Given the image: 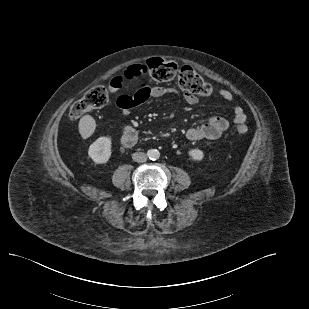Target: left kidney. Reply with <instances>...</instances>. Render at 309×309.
<instances>
[{"instance_id": "left-kidney-1", "label": "left kidney", "mask_w": 309, "mask_h": 309, "mask_svg": "<svg viewBox=\"0 0 309 309\" xmlns=\"http://www.w3.org/2000/svg\"><path fill=\"white\" fill-rule=\"evenodd\" d=\"M188 154L195 161H201L204 157V153L200 149H191Z\"/></svg>"}]
</instances>
